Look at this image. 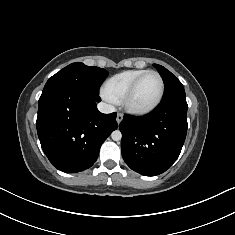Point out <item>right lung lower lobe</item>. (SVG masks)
<instances>
[{"instance_id": "98d812e1", "label": "right lung lower lobe", "mask_w": 235, "mask_h": 235, "mask_svg": "<svg viewBox=\"0 0 235 235\" xmlns=\"http://www.w3.org/2000/svg\"><path fill=\"white\" fill-rule=\"evenodd\" d=\"M98 94L74 87L42 92L37 133L41 147L58 170L76 173L96 161L105 139L117 128L116 113L98 111Z\"/></svg>"}]
</instances>
